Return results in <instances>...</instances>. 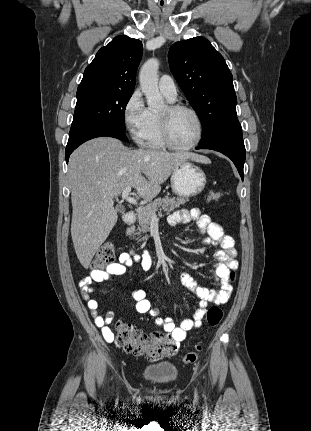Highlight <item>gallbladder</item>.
<instances>
[{"label": "gallbladder", "mask_w": 311, "mask_h": 431, "mask_svg": "<svg viewBox=\"0 0 311 431\" xmlns=\"http://www.w3.org/2000/svg\"><path fill=\"white\" fill-rule=\"evenodd\" d=\"M116 210H117V212H125L124 206H120V204H118V206H116Z\"/></svg>", "instance_id": "obj_1"}]
</instances>
